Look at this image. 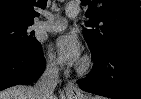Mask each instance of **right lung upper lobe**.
I'll return each instance as SVG.
<instances>
[{
  "instance_id": "cb5924a9",
  "label": "right lung upper lobe",
  "mask_w": 141,
  "mask_h": 99,
  "mask_svg": "<svg viewBox=\"0 0 141 99\" xmlns=\"http://www.w3.org/2000/svg\"><path fill=\"white\" fill-rule=\"evenodd\" d=\"M47 0H0V22H34L39 13L35 7L45 8Z\"/></svg>"
}]
</instances>
